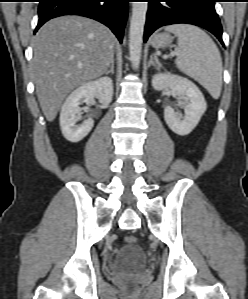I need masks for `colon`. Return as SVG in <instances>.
Instances as JSON below:
<instances>
[{"instance_id": "obj_1", "label": "colon", "mask_w": 248, "mask_h": 299, "mask_svg": "<svg viewBox=\"0 0 248 299\" xmlns=\"http://www.w3.org/2000/svg\"><path fill=\"white\" fill-rule=\"evenodd\" d=\"M125 242H126L127 244H129V245H131V244H136V242H137V237L134 236V235H127V236H125ZM133 289H134L133 284L129 283V284L127 285V292H128V293H131V292L133 291Z\"/></svg>"}]
</instances>
